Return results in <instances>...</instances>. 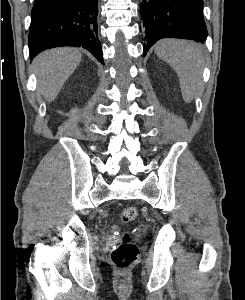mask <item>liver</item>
Wrapping results in <instances>:
<instances>
[{"label": "liver", "instance_id": "1", "mask_svg": "<svg viewBox=\"0 0 245 300\" xmlns=\"http://www.w3.org/2000/svg\"><path fill=\"white\" fill-rule=\"evenodd\" d=\"M81 52L72 48H56L39 54L32 63L37 88L50 103L81 62Z\"/></svg>", "mask_w": 245, "mask_h": 300}]
</instances>
